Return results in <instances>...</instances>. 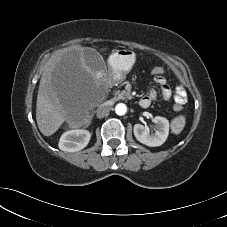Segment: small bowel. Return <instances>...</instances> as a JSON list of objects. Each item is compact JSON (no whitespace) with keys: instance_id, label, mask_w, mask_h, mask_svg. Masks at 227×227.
Masks as SVG:
<instances>
[{"instance_id":"small-bowel-1","label":"small bowel","mask_w":227,"mask_h":227,"mask_svg":"<svg viewBox=\"0 0 227 227\" xmlns=\"http://www.w3.org/2000/svg\"><path fill=\"white\" fill-rule=\"evenodd\" d=\"M154 81L160 86L163 99L166 101H169L172 97V92L170 88L167 86L166 79L164 78V76L158 75L154 77ZM156 98H157V92L155 91V89L151 88L148 94L144 96L142 99L145 100L149 106L151 101L156 100ZM174 101L176 102L177 105H183L187 102L186 91L181 85L177 86L176 88Z\"/></svg>"}]
</instances>
